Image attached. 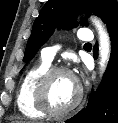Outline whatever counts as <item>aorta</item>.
Instances as JSON below:
<instances>
[{
  "mask_svg": "<svg viewBox=\"0 0 118 123\" xmlns=\"http://www.w3.org/2000/svg\"><path fill=\"white\" fill-rule=\"evenodd\" d=\"M91 21L97 29L99 35V57H100V75L105 72L107 63L110 58L111 45L107 30L103 26L102 21L97 17H91Z\"/></svg>",
  "mask_w": 118,
  "mask_h": 123,
  "instance_id": "aorta-1",
  "label": "aorta"
}]
</instances>
